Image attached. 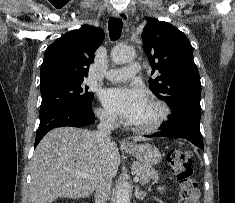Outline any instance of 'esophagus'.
<instances>
[{"instance_id": "34e87169", "label": "esophagus", "mask_w": 235, "mask_h": 203, "mask_svg": "<svg viewBox=\"0 0 235 203\" xmlns=\"http://www.w3.org/2000/svg\"><path fill=\"white\" fill-rule=\"evenodd\" d=\"M113 16L121 19L124 23H127L128 21V15L125 12L113 11ZM122 145H129V142L123 141Z\"/></svg>"}]
</instances>
